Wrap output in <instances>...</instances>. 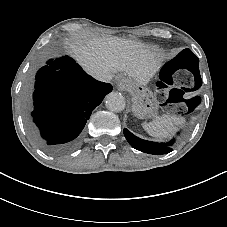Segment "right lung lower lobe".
I'll use <instances>...</instances> for the list:
<instances>
[{
	"label": "right lung lower lobe",
	"mask_w": 227,
	"mask_h": 227,
	"mask_svg": "<svg viewBox=\"0 0 227 227\" xmlns=\"http://www.w3.org/2000/svg\"><path fill=\"white\" fill-rule=\"evenodd\" d=\"M111 91L70 57L49 60L36 74L31 114L44 149L55 155L74 149L92 111Z\"/></svg>",
	"instance_id": "98d812e1"
}]
</instances>
